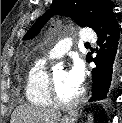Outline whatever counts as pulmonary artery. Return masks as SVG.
Wrapping results in <instances>:
<instances>
[{
    "label": "pulmonary artery",
    "mask_w": 122,
    "mask_h": 123,
    "mask_svg": "<svg viewBox=\"0 0 122 123\" xmlns=\"http://www.w3.org/2000/svg\"><path fill=\"white\" fill-rule=\"evenodd\" d=\"M80 40L85 43L95 42L96 34L90 29H83L80 32ZM72 46V39L65 38L59 41L48 53L50 58L62 57Z\"/></svg>",
    "instance_id": "pulmonary-artery-1"
}]
</instances>
